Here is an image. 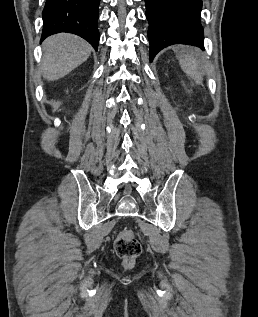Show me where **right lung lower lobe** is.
<instances>
[{
	"label": "right lung lower lobe",
	"mask_w": 258,
	"mask_h": 317,
	"mask_svg": "<svg viewBox=\"0 0 258 317\" xmlns=\"http://www.w3.org/2000/svg\"><path fill=\"white\" fill-rule=\"evenodd\" d=\"M99 2L100 0H46L42 12L41 41L52 34L68 32L81 36L97 51Z\"/></svg>",
	"instance_id": "98d812e1"
}]
</instances>
